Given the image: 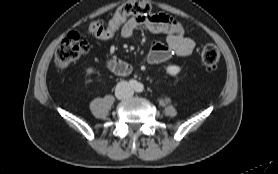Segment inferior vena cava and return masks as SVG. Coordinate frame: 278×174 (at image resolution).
Instances as JSON below:
<instances>
[{
	"label": "inferior vena cava",
	"instance_id": "obj_1",
	"mask_svg": "<svg viewBox=\"0 0 278 174\" xmlns=\"http://www.w3.org/2000/svg\"><path fill=\"white\" fill-rule=\"evenodd\" d=\"M117 94L121 98H128L133 95V89L128 82L122 81L117 85Z\"/></svg>",
	"mask_w": 278,
	"mask_h": 174
}]
</instances>
